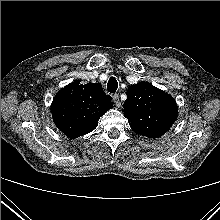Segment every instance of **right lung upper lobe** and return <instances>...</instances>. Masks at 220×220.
I'll return each mask as SVG.
<instances>
[{"label": "right lung upper lobe", "mask_w": 220, "mask_h": 220, "mask_svg": "<svg viewBox=\"0 0 220 220\" xmlns=\"http://www.w3.org/2000/svg\"><path fill=\"white\" fill-rule=\"evenodd\" d=\"M100 83L80 84L79 80L62 88L54 97L51 113L57 128L70 139L93 131L103 114L113 107Z\"/></svg>", "instance_id": "1"}]
</instances>
